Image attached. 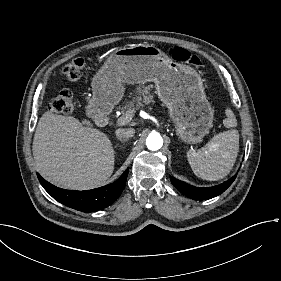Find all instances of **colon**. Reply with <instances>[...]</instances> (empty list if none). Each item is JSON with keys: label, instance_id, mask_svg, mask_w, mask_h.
Wrapping results in <instances>:
<instances>
[{"label": "colon", "instance_id": "obj_1", "mask_svg": "<svg viewBox=\"0 0 281 281\" xmlns=\"http://www.w3.org/2000/svg\"><path fill=\"white\" fill-rule=\"evenodd\" d=\"M170 57L176 61L189 63L195 67H201L202 62L193 54L181 47H173L170 52ZM85 66V59L83 57H76L71 60L64 68L63 74L69 80H77L83 74ZM75 106L73 95L69 91H61L51 100L49 109L52 114H70Z\"/></svg>", "mask_w": 281, "mask_h": 281}]
</instances>
